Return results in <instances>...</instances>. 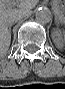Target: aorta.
Returning a JSON list of instances; mask_svg holds the SVG:
<instances>
[{
    "label": "aorta",
    "instance_id": "1",
    "mask_svg": "<svg viewBox=\"0 0 65 89\" xmlns=\"http://www.w3.org/2000/svg\"><path fill=\"white\" fill-rule=\"evenodd\" d=\"M35 18L42 24H47L52 19V13L48 7L41 6L35 10Z\"/></svg>",
    "mask_w": 65,
    "mask_h": 89
}]
</instances>
